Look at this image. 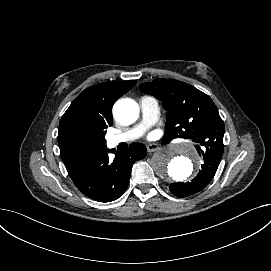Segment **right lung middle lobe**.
I'll return each mask as SVG.
<instances>
[{
	"label": "right lung middle lobe",
	"instance_id": "right-lung-middle-lobe-1",
	"mask_svg": "<svg viewBox=\"0 0 271 271\" xmlns=\"http://www.w3.org/2000/svg\"><path fill=\"white\" fill-rule=\"evenodd\" d=\"M106 128L79 125L70 129L65 137L66 144L81 155L95 154L106 146Z\"/></svg>",
	"mask_w": 271,
	"mask_h": 271
}]
</instances>
